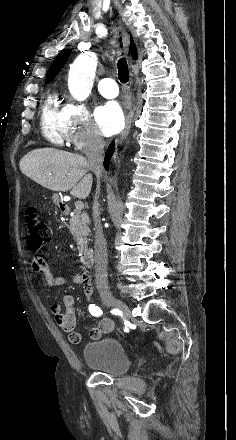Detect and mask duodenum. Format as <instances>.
Returning a JSON list of instances; mask_svg holds the SVG:
<instances>
[{"label": "duodenum", "instance_id": "obj_1", "mask_svg": "<svg viewBox=\"0 0 236 440\" xmlns=\"http://www.w3.org/2000/svg\"><path fill=\"white\" fill-rule=\"evenodd\" d=\"M59 206L62 211H66L67 207L63 201H59ZM94 253L91 249L86 250L81 256V263L85 268H91L93 266Z\"/></svg>", "mask_w": 236, "mask_h": 440}]
</instances>
